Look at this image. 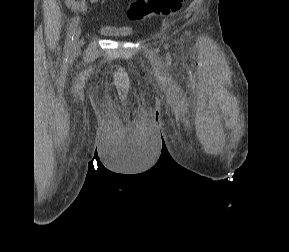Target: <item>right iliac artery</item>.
<instances>
[{"label": "right iliac artery", "mask_w": 289, "mask_h": 252, "mask_svg": "<svg viewBox=\"0 0 289 252\" xmlns=\"http://www.w3.org/2000/svg\"><path fill=\"white\" fill-rule=\"evenodd\" d=\"M78 23H79V17L77 16V17L73 18V20L69 26V29L67 32V37H66V42H65V48H64L66 53H69V51L72 48L74 34L76 32Z\"/></svg>", "instance_id": "right-iliac-artery-1"}]
</instances>
